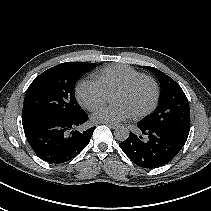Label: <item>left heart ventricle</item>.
<instances>
[{"label": "left heart ventricle", "instance_id": "b2bd125f", "mask_svg": "<svg viewBox=\"0 0 211 211\" xmlns=\"http://www.w3.org/2000/svg\"><path fill=\"white\" fill-rule=\"evenodd\" d=\"M153 95L151 83L143 81L129 91H115L112 101L126 105L134 113L147 108L152 102Z\"/></svg>", "mask_w": 211, "mask_h": 211}]
</instances>
